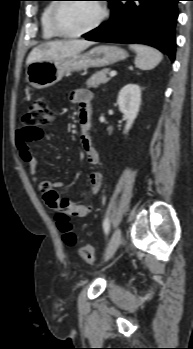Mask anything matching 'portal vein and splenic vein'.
<instances>
[{"label":"portal vein and splenic vein","instance_id":"obj_1","mask_svg":"<svg viewBox=\"0 0 193 349\" xmlns=\"http://www.w3.org/2000/svg\"><path fill=\"white\" fill-rule=\"evenodd\" d=\"M116 74H117L116 71H111V72L109 73V76H110V77H114Z\"/></svg>","mask_w":193,"mask_h":349}]
</instances>
